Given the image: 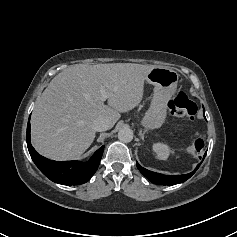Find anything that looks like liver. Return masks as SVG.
<instances>
[{"label":"liver","mask_w":237,"mask_h":237,"mask_svg":"<svg viewBox=\"0 0 237 237\" xmlns=\"http://www.w3.org/2000/svg\"><path fill=\"white\" fill-rule=\"evenodd\" d=\"M153 65L109 63L69 66L57 74L38 99L31 118L32 143L43 156L69 160L82 155L95 138L94 120L110 128L120 113L141 102ZM105 86L108 105L101 100Z\"/></svg>","instance_id":"obj_1"}]
</instances>
